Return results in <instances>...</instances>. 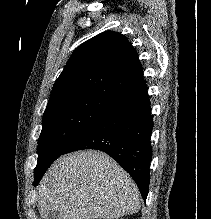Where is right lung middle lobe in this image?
<instances>
[{"mask_svg": "<svg viewBox=\"0 0 211 219\" xmlns=\"http://www.w3.org/2000/svg\"><path fill=\"white\" fill-rule=\"evenodd\" d=\"M116 106L95 97L68 99L48 106L38 140L34 185L73 141Z\"/></svg>", "mask_w": 211, "mask_h": 219, "instance_id": "obj_1", "label": "right lung middle lobe"}]
</instances>
